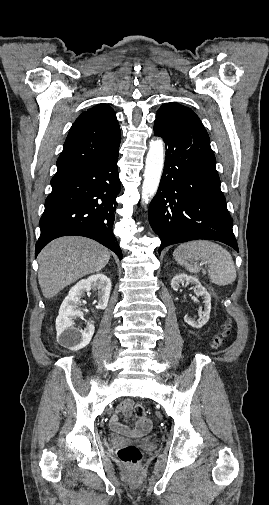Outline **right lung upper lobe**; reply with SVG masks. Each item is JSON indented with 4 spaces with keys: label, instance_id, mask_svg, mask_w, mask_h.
<instances>
[{
    "label": "right lung upper lobe",
    "instance_id": "1",
    "mask_svg": "<svg viewBox=\"0 0 269 505\" xmlns=\"http://www.w3.org/2000/svg\"><path fill=\"white\" fill-rule=\"evenodd\" d=\"M120 141L114 110L98 104L83 112L72 125L57 160V172L100 158L119 147Z\"/></svg>",
    "mask_w": 269,
    "mask_h": 505
}]
</instances>
